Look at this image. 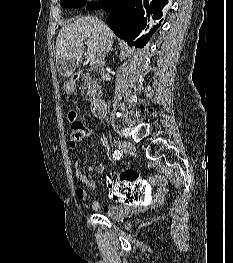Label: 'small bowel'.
<instances>
[{
  "label": "small bowel",
  "instance_id": "obj_1",
  "mask_svg": "<svg viewBox=\"0 0 233 263\" xmlns=\"http://www.w3.org/2000/svg\"><path fill=\"white\" fill-rule=\"evenodd\" d=\"M102 169L103 167L102 165H100L97 168L96 172L99 173L102 171ZM85 170L88 173L95 172V169L92 166H87ZM75 173L77 179L82 183V185L85 188L96 190V183L94 182L93 179L88 177L85 174V172L82 170L80 161H76L75 163ZM109 175H114V174H109ZM146 181L151 185H157V190L155 195H151L152 202H145L144 205H141L139 207L138 205H128L127 202L125 201H123V205H108V206H104L101 202L95 201L90 206L87 207H89L93 211L104 213L110 218L118 221H125L131 215L142 212L146 208H156L163 203L166 195L168 194V188H167L168 180L163 176H155L146 179ZM84 187H77L75 189V195L77 199L82 202H85L88 197L87 191Z\"/></svg>",
  "mask_w": 233,
  "mask_h": 263
}]
</instances>
